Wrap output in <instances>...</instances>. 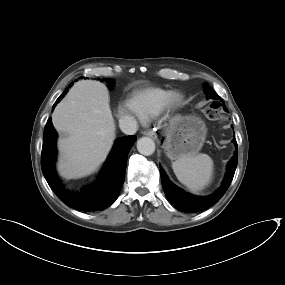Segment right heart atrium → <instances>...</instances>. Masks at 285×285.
<instances>
[{
	"mask_svg": "<svg viewBox=\"0 0 285 285\" xmlns=\"http://www.w3.org/2000/svg\"><path fill=\"white\" fill-rule=\"evenodd\" d=\"M119 111L123 116H130L131 115V109L128 106H122L119 109Z\"/></svg>",
	"mask_w": 285,
	"mask_h": 285,
	"instance_id": "right-heart-atrium-1",
	"label": "right heart atrium"
}]
</instances>
